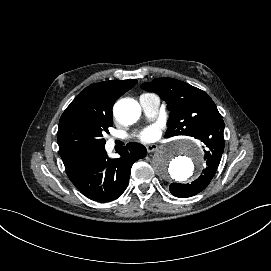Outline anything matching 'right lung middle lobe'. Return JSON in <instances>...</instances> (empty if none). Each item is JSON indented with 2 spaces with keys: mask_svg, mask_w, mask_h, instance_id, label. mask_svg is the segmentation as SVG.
I'll return each mask as SVG.
<instances>
[{
  "mask_svg": "<svg viewBox=\"0 0 271 271\" xmlns=\"http://www.w3.org/2000/svg\"><path fill=\"white\" fill-rule=\"evenodd\" d=\"M113 126L112 115H104L89 106H78L62 114L57 140L62 157L89 151H96L105 146L103 132Z\"/></svg>",
  "mask_w": 271,
  "mask_h": 271,
  "instance_id": "right-lung-middle-lobe-1",
  "label": "right lung middle lobe"
}]
</instances>
